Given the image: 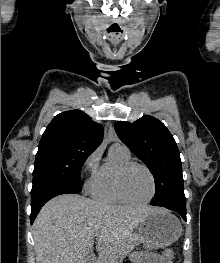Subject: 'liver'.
Here are the masks:
<instances>
[{
    "label": "liver",
    "mask_w": 220,
    "mask_h": 263,
    "mask_svg": "<svg viewBox=\"0 0 220 263\" xmlns=\"http://www.w3.org/2000/svg\"><path fill=\"white\" fill-rule=\"evenodd\" d=\"M159 210L113 206L63 194L48 201L33 224L36 263H86L98 238L97 263H119V250L132 231Z\"/></svg>",
    "instance_id": "6515ba94"
}]
</instances>
